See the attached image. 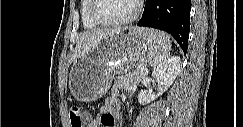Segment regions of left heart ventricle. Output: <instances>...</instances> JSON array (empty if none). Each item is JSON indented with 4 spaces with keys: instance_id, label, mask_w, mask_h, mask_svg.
<instances>
[{
    "instance_id": "b2bd125f",
    "label": "left heart ventricle",
    "mask_w": 243,
    "mask_h": 127,
    "mask_svg": "<svg viewBox=\"0 0 243 127\" xmlns=\"http://www.w3.org/2000/svg\"><path fill=\"white\" fill-rule=\"evenodd\" d=\"M135 9L134 0H98L97 13L106 20H118L129 16Z\"/></svg>"
}]
</instances>
